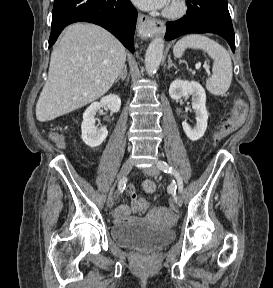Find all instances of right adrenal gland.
Masks as SVG:
<instances>
[{
	"instance_id": "1",
	"label": "right adrenal gland",
	"mask_w": 273,
	"mask_h": 288,
	"mask_svg": "<svg viewBox=\"0 0 273 288\" xmlns=\"http://www.w3.org/2000/svg\"><path fill=\"white\" fill-rule=\"evenodd\" d=\"M126 76H127V65H124V68L122 69L115 83H117L120 79L125 80Z\"/></svg>"
}]
</instances>
